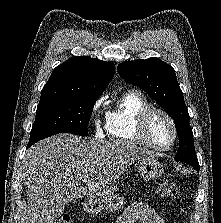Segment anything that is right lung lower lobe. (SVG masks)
Listing matches in <instances>:
<instances>
[{"label":"right lung lower lobe","mask_w":221,"mask_h":223,"mask_svg":"<svg viewBox=\"0 0 221 223\" xmlns=\"http://www.w3.org/2000/svg\"><path fill=\"white\" fill-rule=\"evenodd\" d=\"M30 146H31V144H28V145H27V147H30Z\"/></svg>","instance_id":"obj_1"}]
</instances>
